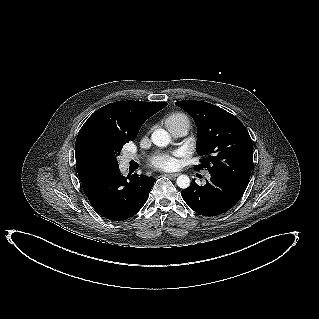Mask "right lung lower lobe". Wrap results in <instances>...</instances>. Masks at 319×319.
I'll return each instance as SVG.
<instances>
[{
  "instance_id": "right-lung-lower-lobe-1",
  "label": "right lung lower lobe",
  "mask_w": 319,
  "mask_h": 319,
  "mask_svg": "<svg viewBox=\"0 0 319 319\" xmlns=\"http://www.w3.org/2000/svg\"><path fill=\"white\" fill-rule=\"evenodd\" d=\"M154 181V178L145 175L124 177L116 168L82 186L98 214L111 221H124L143 207Z\"/></svg>"
}]
</instances>
